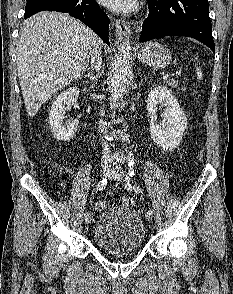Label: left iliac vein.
I'll use <instances>...</instances> for the list:
<instances>
[{"label":"left iliac vein","mask_w":233,"mask_h":294,"mask_svg":"<svg viewBox=\"0 0 233 294\" xmlns=\"http://www.w3.org/2000/svg\"><path fill=\"white\" fill-rule=\"evenodd\" d=\"M126 175H127L126 171L116 166L115 168L112 169L110 177H112L113 179L117 181H122ZM145 217L148 222H152L153 220L152 214L146 213Z\"/></svg>","instance_id":"obj_1"}]
</instances>
